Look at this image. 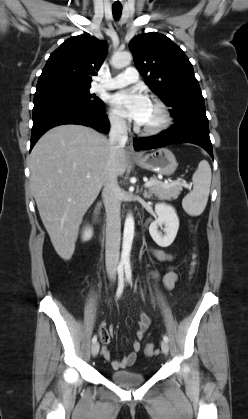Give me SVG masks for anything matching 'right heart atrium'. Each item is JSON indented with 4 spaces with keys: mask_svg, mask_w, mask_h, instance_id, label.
I'll return each instance as SVG.
<instances>
[{
    "mask_svg": "<svg viewBox=\"0 0 248 419\" xmlns=\"http://www.w3.org/2000/svg\"><path fill=\"white\" fill-rule=\"evenodd\" d=\"M108 119L112 127L117 130L123 131L127 127L126 121L121 117V115L117 111L113 109L109 110Z\"/></svg>",
    "mask_w": 248,
    "mask_h": 419,
    "instance_id": "d8ad5b80",
    "label": "right heart atrium"
}]
</instances>
